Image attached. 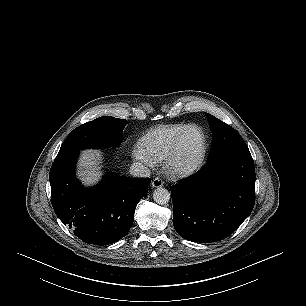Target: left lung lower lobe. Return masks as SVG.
<instances>
[{
    "label": "left lung lower lobe",
    "instance_id": "obj_1",
    "mask_svg": "<svg viewBox=\"0 0 306 306\" xmlns=\"http://www.w3.org/2000/svg\"><path fill=\"white\" fill-rule=\"evenodd\" d=\"M173 225L193 242H216L231 235L255 203V167L249 150L208 159L171 190Z\"/></svg>",
    "mask_w": 306,
    "mask_h": 306
}]
</instances>
